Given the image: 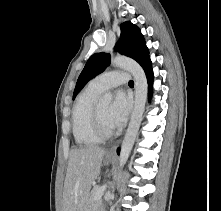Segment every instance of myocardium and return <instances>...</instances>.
Wrapping results in <instances>:
<instances>
[{"mask_svg": "<svg viewBox=\"0 0 221 211\" xmlns=\"http://www.w3.org/2000/svg\"><path fill=\"white\" fill-rule=\"evenodd\" d=\"M92 124L95 134L101 139L106 140L116 136L117 132L115 130H107L101 120L98 104H95L92 111Z\"/></svg>", "mask_w": 221, "mask_h": 211, "instance_id": "myocardium-1", "label": "myocardium"}]
</instances>
